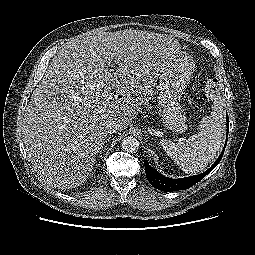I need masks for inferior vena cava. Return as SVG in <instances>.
Here are the masks:
<instances>
[{
	"mask_svg": "<svg viewBox=\"0 0 255 255\" xmlns=\"http://www.w3.org/2000/svg\"><path fill=\"white\" fill-rule=\"evenodd\" d=\"M119 129V124L116 121H109L106 125L107 133H115Z\"/></svg>",
	"mask_w": 255,
	"mask_h": 255,
	"instance_id": "obj_1",
	"label": "inferior vena cava"
}]
</instances>
